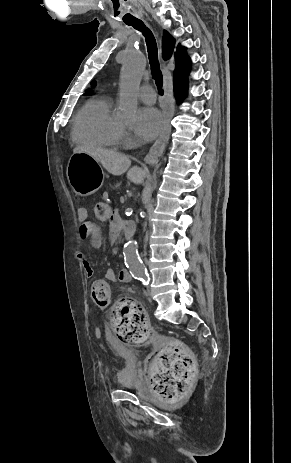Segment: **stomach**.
<instances>
[{
	"label": "stomach",
	"mask_w": 291,
	"mask_h": 463,
	"mask_svg": "<svg viewBox=\"0 0 291 463\" xmlns=\"http://www.w3.org/2000/svg\"><path fill=\"white\" fill-rule=\"evenodd\" d=\"M66 173L71 187L78 195H90L100 186L102 172L99 162L87 153H73Z\"/></svg>",
	"instance_id": "1"
}]
</instances>
